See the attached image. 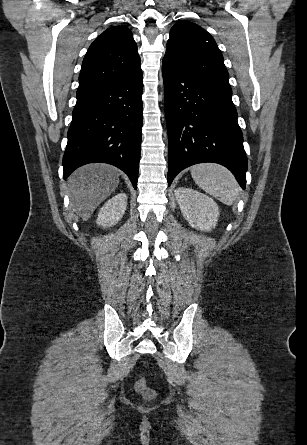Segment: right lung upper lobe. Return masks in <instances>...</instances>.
Wrapping results in <instances>:
<instances>
[{"instance_id": "right-lung-upper-lobe-1", "label": "right lung upper lobe", "mask_w": 307, "mask_h": 445, "mask_svg": "<svg viewBox=\"0 0 307 445\" xmlns=\"http://www.w3.org/2000/svg\"><path fill=\"white\" fill-rule=\"evenodd\" d=\"M139 69L140 57L130 29L110 27L89 47L79 75V88L115 81Z\"/></svg>"}]
</instances>
